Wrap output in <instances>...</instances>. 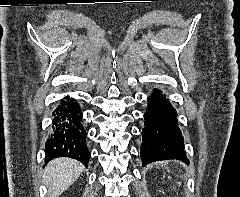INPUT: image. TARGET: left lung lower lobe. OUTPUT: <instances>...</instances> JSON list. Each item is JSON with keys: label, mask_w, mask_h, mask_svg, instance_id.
<instances>
[{"label": "left lung lower lobe", "mask_w": 240, "mask_h": 197, "mask_svg": "<svg viewBox=\"0 0 240 197\" xmlns=\"http://www.w3.org/2000/svg\"><path fill=\"white\" fill-rule=\"evenodd\" d=\"M141 158L143 166L150 162L177 159L188 163L183 150V137L178 127L176 110L159 90L148 98L144 114Z\"/></svg>", "instance_id": "0a47b994"}]
</instances>
